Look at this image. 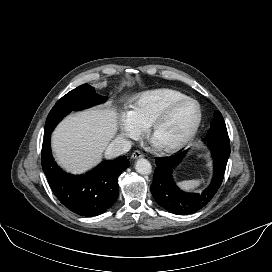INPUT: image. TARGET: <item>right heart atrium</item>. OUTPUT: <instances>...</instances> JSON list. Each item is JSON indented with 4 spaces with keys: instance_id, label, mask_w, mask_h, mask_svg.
I'll return each mask as SVG.
<instances>
[{
    "instance_id": "right-heart-atrium-1",
    "label": "right heart atrium",
    "mask_w": 272,
    "mask_h": 272,
    "mask_svg": "<svg viewBox=\"0 0 272 272\" xmlns=\"http://www.w3.org/2000/svg\"><path fill=\"white\" fill-rule=\"evenodd\" d=\"M120 125L123 135L128 138L137 139L143 133V130L134 122L129 112L121 116Z\"/></svg>"
}]
</instances>
